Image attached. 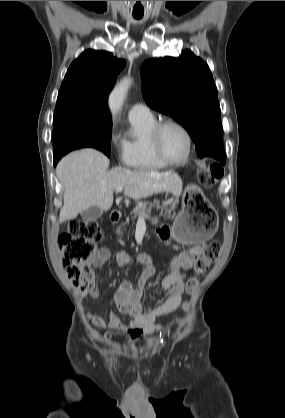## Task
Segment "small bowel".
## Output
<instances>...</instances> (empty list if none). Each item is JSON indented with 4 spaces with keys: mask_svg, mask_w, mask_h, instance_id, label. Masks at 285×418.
I'll use <instances>...</instances> for the list:
<instances>
[{
    "mask_svg": "<svg viewBox=\"0 0 285 418\" xmlns=\"http://www.w3.org/2000/svg\"><path fill=\"white\" fill-rule=\"evenodd\" d=\"M159 233L164 241L168 239L167 235L162 234L161 231ZM201 251L202 246L196 245L172 259L171 270L161 282V287L166 290V297L161 305L148 307L147 309L143 308L141 299L144 288L155 273V267L148 255H139L137 262L143 266V271L139 277L137 287H133L130 281H123L114 296L119 312L126 316L127 319H123L115 314H110L108 320H105L100 315L90 313L87 314V317L96 328L125 333L132 340H140L146 335L157 332L159 326L156 323V319L174 312L181 304L182 297L186 291L185 272L192 268L195 257ZM111 257L112 251L103 247L96 252L90 262L95 268H100ZM115 259L119 267H126L131 262L130 256L124 252L117 253ZM81 294L96 298L99 292L92 285L86 290L81 289Z\"/></svg>",
    "mask_w": 285,
    "mask_h": 418,
    "instance_id": "1",
    "label": "small bowel"
}]
</instances>
